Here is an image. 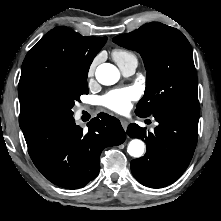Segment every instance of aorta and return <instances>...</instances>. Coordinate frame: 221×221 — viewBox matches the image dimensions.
Listing matches in <instances>:
<instances>
[{
    "label": "aorta",
    "instance_id": "1",
    "mask_svg": "<svg viewBox=\"0 0 221 221\" xmlns=\"http://www.w3.org/2000/svg\"><path fill=\"white\" fill-rule=\"evenodd\" d=\"M96 79L103 85H113L120 77L119 70L110 63H103L96 69ZM145 145L140 139H133L128 144L127 152L130 156L139 158L144 154Z\"/></svg>",
    "mask_w": 221,
    "mask_h": 221
}]
</instances>
